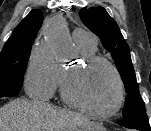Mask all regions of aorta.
<instances>
[{
    "instance_id": "obj_1",
    "label": "aorta",
    "mask_w": 151,
    "mask_h": 131,
    "mask_svg": "<svg viewBox=\"0 0 151 131\" xmlns=\"http://www.w3.org/2000/svg\"><path fill=\"white\" fill-rule=\"evenodd\" d=\"M64 23L63 18H55L46 31V39L54 47L55 56L59 60H68L73 56V44Z\"/></svg>"
}]
</instances>
